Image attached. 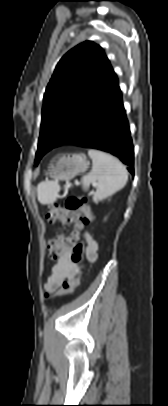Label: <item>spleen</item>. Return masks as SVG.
<instances>
[{"label": "spleen", "instance_id": "1", "mask_svg": "<svg viewBox=\"0 0 168 406\" xmlns=\"http://www.w3.org/2000/svg\"><path fill=\"white\" fill-rule=\"evenodd\" d=\"M88 155L92 159V170L81 179L84 190L90 184L96 183L93 202L98 203L121 190L127 183L126 167L115 157L99 150L90 149ZM60 186L56 181L46 180L37 187L38 199L43 204H50L57 200Z\"/></svg>", "mask_w": 168, "mask_h": 406}]
</instances>
